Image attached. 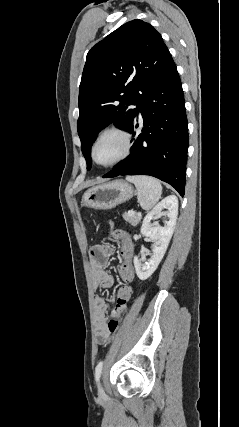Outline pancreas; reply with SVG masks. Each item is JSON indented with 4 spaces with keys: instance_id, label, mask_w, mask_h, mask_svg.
I'll return each instance as SVG.
<instances>
[{
    "instance_id": "obj_1",
    "label": "pancreas",
    "mask_w": 239,
    "mask_h": 427,
    "mask_svg": "<svg viewBox=\"0 0 239 427\" xmlns=\"http://www.w3.org/2000/svg\"><path fill=\"white\" fill-rule=\"evenodd\" d=\"M125 221L129 222L132 226H136L141 221L140 215L129 216L127 213L123 214Z\"/></svg>"
}]
</instances>
